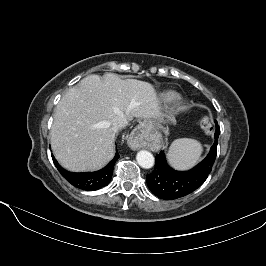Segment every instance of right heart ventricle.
Masks as SVG:
<instances>
[{
	"instance_id": "1",
	"label": "right heart ventricle",
	"mask_w": 266,
	"mask_h": 266,
	"mask_svg": "<svg viewBox=\"0 0 266 266\" xmlns=\"http://www.w3.org/2000/svg\"><path fill=\"white\" fill-rule=\"evenodd\" d=\"M179 99V95L174 92H168L164 95V100L169 104L176 103L179 101Z\"/></svg>"
}]
</instances>
